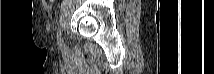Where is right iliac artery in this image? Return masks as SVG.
Here are the masks:
<instances>
[{
    "instance_id": "1",
    "label": "right iliac artery",
    "mask_w": 214,
    "mask_h": 74,
    "mask_svg": "<svg viewBox=\"0 0 214 74\" xmlns=\"http://www.w3.org/2000/svg\"><path fill=\"white\" fill-rule=\"evenodd\" d=\"M57 41H58V45L61 47V48H65V44L63 42V39L61 37V31L59 29L58 33H57Z\"/></svg>"
}]
</instances>
